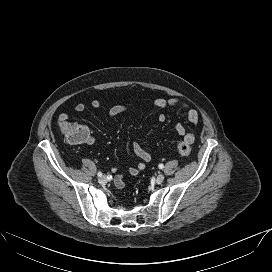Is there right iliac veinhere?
<instances>
[{
  "instance_id": "1",
  "label": "right iliac vein",
  "mask_w": 272,
  "mask_h": 272,
  "mask_svg": "<svg viewBox=\"0 0 272 272\" xmlns=\"http://www.w3.org/2000/svg\"><path fill=\"white\" fill-rule=\"evenodd\" d=\"M98 181H99V183L103 184L107 181V178H106V176H101Z\"/></svg>"
}]
</instances>
